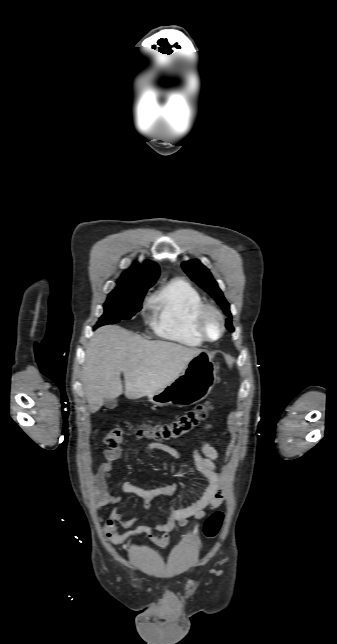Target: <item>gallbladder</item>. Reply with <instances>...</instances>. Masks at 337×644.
Instances as JSON below:
<instances>
[{
  "label": "gallbladder",
  "instance_id": "bac80fb5",
  "mask_svg": "<svg viewBox=\"0 0 337 644\" xmlns=\"http://www.w3.org/2000/svg\"><path fill=\"white\" fill-rule=\"evenodd\" d=\"M104 405L107 409H114L117 406V400L115 399H105Z\"/></svg>",
  "mask_w": 337,
  "mask_h": 644
}]
</instances>
